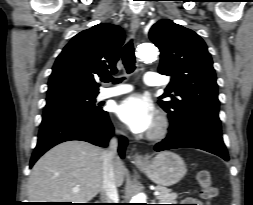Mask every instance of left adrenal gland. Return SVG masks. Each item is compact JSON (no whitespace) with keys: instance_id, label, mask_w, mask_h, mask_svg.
<instances>
[{"instance_id":"obj_1","label":"left adrenal gland","mask_w":253,"mask_h":205,"mask_svg":"<svg viewBox=\"0 0 253 205\" xmlns=\"http://www.w3.org/2000/svg\"><path fill=\"white\" fill-rule=\"evenodd\" d=\"M153 204H156L155 199L153 200Z\"/></svg>"}]
</instances>
